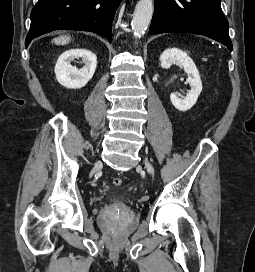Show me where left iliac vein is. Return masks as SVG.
Here are the masks:
<instances>
[{
    "instance_id": "1",
    "label": "left iliac vein",
    "mask_w": 255,
    "mask_h": 272,
    "mask_svg": "<svg viewBox=\"0 0 255 272\" xmlns=\"http://www.w3.org/2000/svg\"><path fill=\"white\" fill-rule=\"evenodd\" d=\"M144 164H145V167H146L147 171L149 172V174L154 175V168L151 165V163L147 159H145Z\"/></svg>"
}]
</instances>
